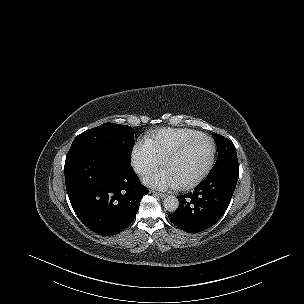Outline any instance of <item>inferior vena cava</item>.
Returning a JSON list of instances; mask_svg holds the SVG:
<instances>
[{"label":"inferior vena cava","mask_w":304,"mask_h":304,"mask_svg":"<svg viewBox=\"0 0 304 304\" xmlns=\"http://www.w3.org/2000/svg\"><path fill=\"white\" fill-rule=\"evenodd\" d=\"M134 170L138 175H144L148 172V168L141 164H136Z\"/></svg>","instance_id":"602c4592"}]
</instances>
